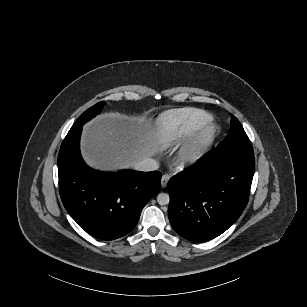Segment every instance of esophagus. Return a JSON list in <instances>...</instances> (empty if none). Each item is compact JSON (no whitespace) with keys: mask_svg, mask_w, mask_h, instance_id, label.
Returning a JSON list of instances; mask_svg holds the SVG:
<instances>
[{"mask_svg":"<svg viewBox=\"0 0 307 307\" xmlns=\"http://www.w3.org/2000/svg\"><path fill=\"white\" fill-rule=\"evenodd\" d=\"M170 176L168 174H163L161 177V187L165 188L167 186Z\"/></svg>","mask_w":307,"mask_h":307,"instance_id":"1","label":"esophagus"}]
</instances>
